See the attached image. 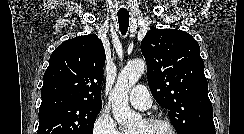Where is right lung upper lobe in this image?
Returning <instances> with one entry per match:
<instances>
[{"instance_id":"1","label":"right lung upper lobe","mask_w":244,"mask_h":134,"mask_svg":"<svg viewBox=\"0 0 244 134\" xmlns=\"http://www.w3.org/2000/svg\"><path fill=\"white\" fill-rule=\"evenodd\" d=\"M105 50L98 36L66 40L50 56L41 90L42 102L64 99L102 105L100 98Z\"/></svg>"}]
</instances>
